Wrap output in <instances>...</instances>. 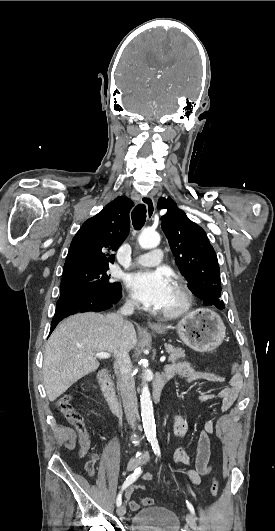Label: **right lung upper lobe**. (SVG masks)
I'll list each match as a JSON object with an SVG mask.
<instances>
[{
  "label": "right lung upper lobe",
  "mask_w": 275,
  "mask_h": 531,
  "mask_svg": "<svg viewBox=\"0 0 275 531\" xmlns=\"http://www.w3.org/2000/svg\"><path fill=\"white\" fill-rule=\"evenodd\" d=\"M133 202L119 196L101 212L85 221L74 236L63 271L78 267H109L130 229L129 213Z\"/></svg>",
  "instance_id": "cb5924a9"
}]
</instances>
